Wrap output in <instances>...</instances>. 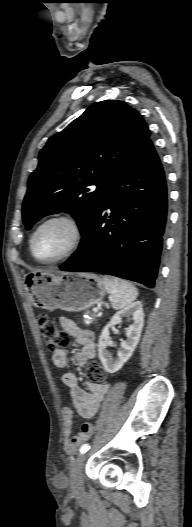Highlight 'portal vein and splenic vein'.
Here are the masks:
<instances>
[{
	"mask_svg": "<svg viewBox=\"0 0 192 527\" xmlns=\"http://www.w3.org/2000/svg\"><path fill=\"white\" fill-rule=\"evenodd\" d=\"M93 312L97 313V312H98V309H97V308H94V309H93Z\"/></svg>",
	"mask_w": 192,
	"mask_h": 527,
	"instance_id": "portal-vein-and-splenic-vein-1",
	"label": "portal vein and splenic vein"
}]
</instances>
